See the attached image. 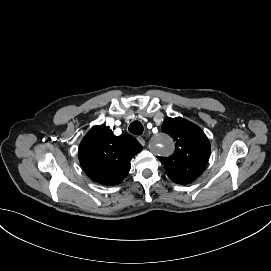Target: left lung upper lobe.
Segmentation results:
<instances>
[{
    "label": "left lung upper lobe",
    "instance_id": "obj_1",
    "mask_svg": "<svg viewBox=\"0 0 271 271\" xmlns=\"http://www.w3.org/2000/svg\"><path fill=\"white\" fill-rule=\"evenodd\" d=\"M162 132L173 138L176 150L170 157L157 158L174 183H191L207 165L210 156L208 138L197 125L181 117L167 118L162 125Z\"/></svg>",
    "mask_w": 271,
    "mask_h": 271
}]
</instances>
